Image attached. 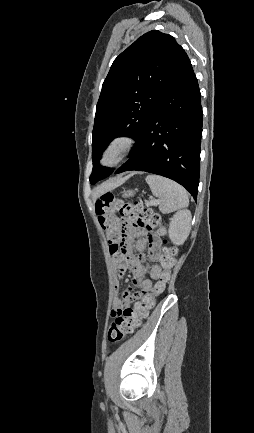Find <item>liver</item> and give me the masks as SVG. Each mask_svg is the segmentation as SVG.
<instances>
[{
	"instance_id": "liver-1",
	"label": "liver",
	"mask_w": 254,
	"mask_h": 433,
	"mask_svg": "<svg viewBox=\"0 0 254 433\" xmlns=\"http://www.w3.org/2000/svg\"><path fill=\"white\" fill-rule=\"evenodd\" d=\"M128 177H129V176H127V177H125V178H119V179H116V180H114V181H108V182H106V183H103L102 185L98 186V187L94 190V192H93V196H94V197H97V196H99L100 194L104 193L105 191L112 190V189H114V188L120 186L121 184H123V183L126 181V179H127Z\"/></svg>"
}]
</instances>
